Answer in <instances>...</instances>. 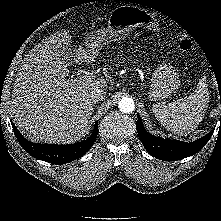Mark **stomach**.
<instances>
[{
	"instance_id": "stomach-1",
	"label": "stomach",
	"mask_w": 221,
	"mask_h": 221,
	"mask_svg": "<svg viewBox=\"0 0 221 221\" xmlns=\"http://www.w3.org/2000/svg\"><path fill=\"white\" fill-rule=\"evenodd\" d=\"M158 26L157 20L147 11L136 6H119L109 15L108 26L88 33L81 48L96 55L102 47L124 39L137 27L158 31ZM179 84V77L174 67L161 64L153 73L148 96L153 101H161L174 93Z\"/></svg>"
}]
</instances>
